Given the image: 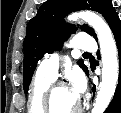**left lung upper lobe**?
Masks as SVG:
<instances>
[{"label": "left lung upper lobe", "instance_id": "obj_1", "mask_svg": "<svg viewBox=\"0 0 121 113\" xmlns=\"http://www.w3.org/2000/svg\"><path fill=\"white\" fill-rule=\"evenodd\" d=\"M83 9L101 13L109 26L118 17L111 0H47L39 8L36 16L29 21L24 39L23 88L25 93L28 92L37 62L45 53H52L59 49L70 34L77 30L75 25L65 24L63 17L72 11ZM80 28L97 39L91 27L83 25ZM78 64L88 74L84 63L79 61Z\"/></svg>", "mask_w": 121, "mask_h": 113}]
</instances>
